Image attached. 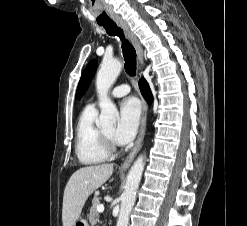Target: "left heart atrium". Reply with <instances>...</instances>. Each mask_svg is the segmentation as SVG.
I'll use <instances>...</instances> for the list:
<instances>
[{
  "label": "left heart atrium",
  "instance_id": "39dd6f15",
  "mask_svg": "<svg viewBox=\"0 0 247 226\" xmlns=\"http://www.w3.org/2000/svg\"><path fill=\"white\" fill-rule=\"evenodd\" d=\"M141 116V106L134 97L124 99L120 104L118 125L113 133V139L119 144L130 142L138 129Z\"/></svg>",
  "mask_w": 247,
  "mask_h": 226
}]
</instances>
